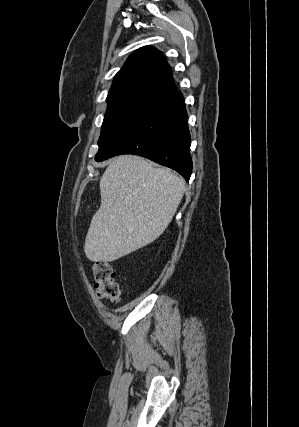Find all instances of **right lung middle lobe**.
<instances>
[{"mask_svg":"<svg viewBox=\"0 0 299 427\" xmlns=\"http://www.w3.org/2000/svg\"><path fill=\"white\" fill-rule=\"evenodd\" d=\"M98 153L104 152L122 134L131 128L155 103L139 98H117L107 100Z\"/></svg>","mask_w":299,"mask_h":427,"instance_id":"obj_1","label":"right lung middle lobe"}]
</instances>
